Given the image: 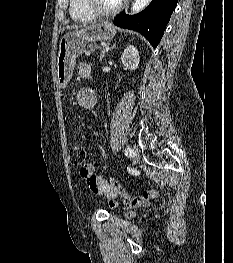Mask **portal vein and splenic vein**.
<instances>
[{
    "mask_svg": "<svg viewBox=\"0 0 233 263\" xmlns=\"http://www.w3.org/2000/svg\"><path fill=\"white\" fill-rule=\"evenodd\" d=\"M85 54L88 56V55H90V52L87 51V52H85Z\"/></svg>",
    "mask_w": 233,
    "mask_h": 263,
    "instance_id": "obj_1",
    "label": "portal vein and splenic vein"
}]
</instances>
